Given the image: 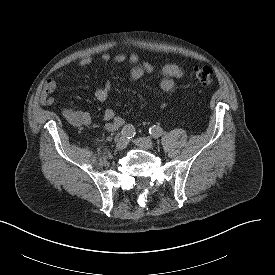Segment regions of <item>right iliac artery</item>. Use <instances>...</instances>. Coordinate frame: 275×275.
I'll use <instances>...</instances> for the list:
<instances>
[{"mask_svg":"<svg viewBox=\"0 0 275 275\" xmlns=\"http://www.w3.org/2000/svg\"><path fill=\"white\" fill-rule=\"evenodd\" d=\"M121 133L123 136L130 139L134 137L136 132H135V128L132 125L128 124L123 127Z\"/></svg>","mask_w":275,"mask_h":275,"instance_id":"right-iliac-artery-1","label":"right iliac artery"}]
</instances>
